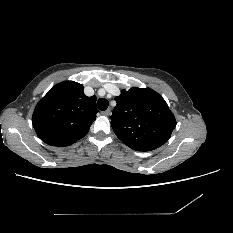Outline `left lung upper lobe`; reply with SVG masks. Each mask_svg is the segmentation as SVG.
<instances>
[{
    "mask_svg": "<svg viewBox=\"0 0 233 233\" xmlns=\"http://www.w3.org/2000/svg\"><path fill=\"white\" fill-rule=\"evenodd\" d=\"M111 116L116 136L137 151H151L167 142L176 120L165 100L150 88L122 90Z\"/></svg>",
    "mask_w": 233,
    "mask_h": 233,
    "instance_id": "left-lung-upper-lobe-1",
    "label": "left lung upper lobe"
}]
</instances>
